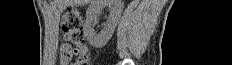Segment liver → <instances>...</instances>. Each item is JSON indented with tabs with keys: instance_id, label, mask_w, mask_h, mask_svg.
<instances>
[{
	"instance_id": "1",
	"label": "liver",
	"mask_w": 232,
	"mask_h": 65,
	"mask_svg": "<svg viewBox=\"0 0 232 65\" xmlns=\"http://www.w3.org/2000/svg\"><path fill=\"white\" fill-rule=\"evenodd\" d=\"M93 1L94 0H58L57 5L60 10H63L68 6L74 7L77 5H85Z\"/></svg>"
}]
</instances>
